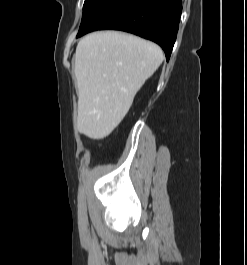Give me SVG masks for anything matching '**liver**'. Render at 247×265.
Masks as SVG:
<instances>
[{
  "instance_id": "1",
  "label": "liver",
  "mask_w": 247,
  "mask_h": 265,
  "mask_svg": "<svg viewBox=\"0 0 247 265\" xmlns=\"http://www.w3.org/2000/svg\"><path fill=\"white\" fill-rule=\"evenodd\" d=\"M162 61L158 45L130 34L101 31L81 39L74 67L78 130L93 139L108 136Z\"/></svg>"
}]
</instances>
